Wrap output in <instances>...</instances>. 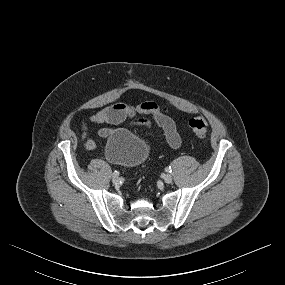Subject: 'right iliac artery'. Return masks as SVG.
I'll return each instance as SVG.
<instances>
[{
  "label": "right iliac artery",
  "mask_w": 285,
  "mask_h": 285,
  "mask_svg": "<svg viewBox=\"0 0 285 285\" xmlns=\"http://www.w3.org/2000/svg\"><path fill=\"white\" fill-rule=\"evenodd\" d=\"M113 175H114V176H118V175H119V171H116V170H115V171L113 172Z\"/></svg>",
  "instance_id": "1"
}]
</instances>
